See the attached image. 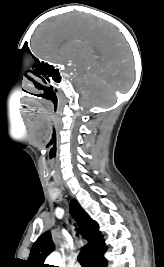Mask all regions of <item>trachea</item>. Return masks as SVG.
I'll list each match as a JSON object with an SVG mask.
<instances>
[{
  "label": "trachea",
  "mask_w": 164,
  "mask_h": 267,
  "mask_svg": "<svg viewBox=\"0 0 164 267\" xmlns=\"http://www.w3.org/2000/svg\"><path fill=\"white\" fill-rule=\"evenodd\" d=\"M78 261L82 265V267H88V262L84 251H81L78 255Z\"/></svg>",
  "instance_id": "3493384b"
}]
</instances>
